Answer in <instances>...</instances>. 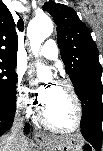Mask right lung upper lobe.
I'll return each mask as SVG.
<instances>
[{"mask_svg": "<svg viewBox=\"0 0 103 151\" xmlns=\"http://www.w3.org/2000/svg\"><path fill=\"white\" fill-rule=\"evenodd\" d=\"M23 30V22H18L3 2H0V62L17 63L18 37L16 31Z\"/></svg>", "mask_w": 103, "mask_h": 151, "instance_id": "right-lung-upper-lobe-1", "label": "right lung upper lobe"}]
</instances>
